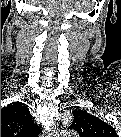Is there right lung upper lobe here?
Segmentation results:
<instances>
[{
    "mask_svg": "<svg viewBox=\"0 0 121 137\" xmlns=\"http://www.w3.org/2000/svg\"><path fill=\"white\" fill-rule=\"evenodd\" d=\"M37 130L29 110L19 102L1 109V135H30Z\"/></svg>",
    "mask_w": 121,
    "mask_h": 137,
    "instance_id": "cb5924a9",
    "label": "right lung upper lobe"
}]
</instances>
